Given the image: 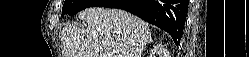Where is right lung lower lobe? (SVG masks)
<instances>
[{
  "instance_id": "1",
  "label": "right lung lower lobe",
  "mask_w": 249,
  "mask_h": 57,
  "mask_svg": "<svg viewBox=\"0 0 249 57\" xmlns=\"http://www.w3.org/2000/svg\"><path fill=\"white\" fill-rule=\"evenodd\" d=\"M188 0H107L101 7L119 8L168 32L179 44L185 24Z\"/></svg>"
}]
</instances>
